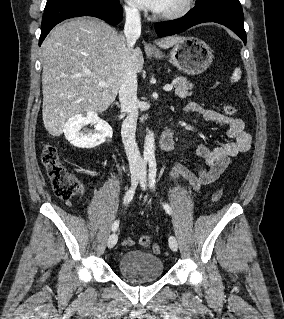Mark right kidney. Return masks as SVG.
Wrapping results in <instances>:
<instances>
[{
    "mask_svg": "<svg viewBox=\"0 0 284 319\" xmlns=\"http://www.w3.org/2000/svg\"><path fill=\"white\" fill-rule=\"evenodd\" d=\"M94 124V132L86 131L84 127ZM66 139L78 148H94L111 138L113 131L111 126L98 117L97 112L89 111L85 114H77L71 117L64 126Z\"/></svg>",
    "mask_w": 284,
    "mask_h": 319,
    "instance_id": "1",
    "label": "right kidney"
}]
</instances>
